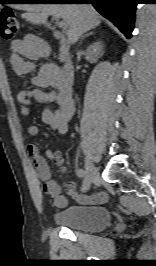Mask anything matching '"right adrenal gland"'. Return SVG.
<instances>
[{"label":"right adrenal gland","mask_w":156,"mask_h":266,"mask_svg":"<svg viewBox=\"0 0 156 266\" xmlns=\"http://www.w3.org/2000/svg\"><path fill=\"white\" fill-rule=\"evenodd\" d=\"M93 33H94V32L92 31V32H89V33L83 35L82 38H81L80 44H81L82 40H83L85 37H88L89 35H92Z\"/></svg>","instance_id":"2a0ac1e0"}]
</instances>
